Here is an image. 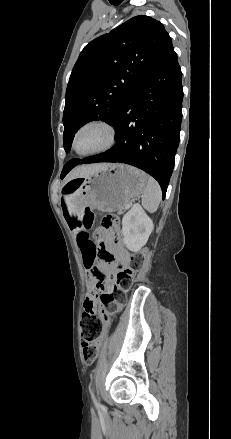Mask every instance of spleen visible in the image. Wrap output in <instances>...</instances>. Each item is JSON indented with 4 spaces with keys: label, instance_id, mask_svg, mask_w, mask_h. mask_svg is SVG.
<instances>
[{
    "label": "spleen",
    "instance_id": "spleen-1",
    "mask_svg": "<svg viewBox=\"0 0 231 439\" xmlns=\"http://www.w3.org/2000/svg\"><path fill=\"white\" fill-rule=\"evenodd\" d=\"M162 198V191L158 182L148 176L147 185L143 191L142 205L149 212L153 213L157 210Z\"/></svg>",
    "mask_w": 231,
    "mask_h": 439
}]
</instances>
